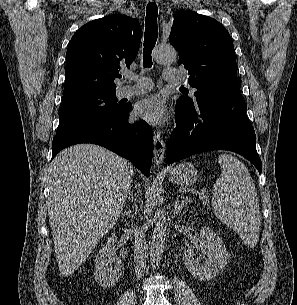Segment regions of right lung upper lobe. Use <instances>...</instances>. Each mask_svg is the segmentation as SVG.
<instances>
[{"instance_id": "obj_1", "label": "right lung upper lobe", "mask_w": 297, "mask_h": 305, "mask_svg": "<svg viewBox=\"0 0 297 305\" xmlns=\"http://www.w3.org/2000/svg\"><path fill=\"white\" fill-rule=\"evenodd\" d=\"M140 41V24L128 16H106L82 26L68 45L62 101L115 91L114 80L136 58Z\"/></svg>"}]
</instances>
